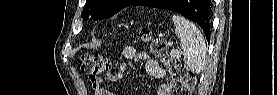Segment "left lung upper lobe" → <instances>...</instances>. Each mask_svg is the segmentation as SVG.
I'll list each match as a JSON object with an SVG mask.
<instances>
[{"instance_id": "1", "label": "left lung upper lobe", "mask_w": 277, "mask_h": 95, "mask_svg": "<svg viewBox=\"0 0 277 95\" xmlns=\"http://www.w3.org/2000/svg\"><path fill=\"white\" fill-rule=\"evenodd\" d=\"M137 0H86L82 11L84 20L92 18L102 20L109 18L125 7L131 6ZM177 0H159L158 8H167L175 4Z\"/></svg>"}]
</instances>
